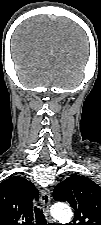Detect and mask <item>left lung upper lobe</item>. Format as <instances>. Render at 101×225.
Listing matches in <instances>:
<instances>
[{
	"mask_svg": "<svg viewBox=\"0 0 101 225\" xmlns=\"http://www.w3.org/2000/svg\"><path fill=\"white\" fill-rule=\"evenodd\" d=\"M56 201H66L75 210L72 225H101V188L85 176L74 175L59 183Z\"/></svg>",
	"mask_w": 101,
	"mask_h": 225,
	"instance_id": "obj_1",
	"label": "left lung upper lobe"
}]
</instances>
